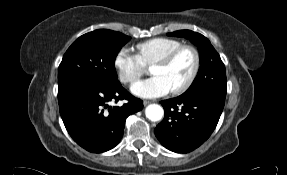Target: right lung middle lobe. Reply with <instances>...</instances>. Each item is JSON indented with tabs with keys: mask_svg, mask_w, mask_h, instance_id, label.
<instances>
[{
	"mask_svg": "<svg viewBox=\"0 0 287 175\" xmlns=\"http://www.w3.org/2000/svg\"><path fill=\"white\" fill-rule=\"evenodd\" d=\"M129 40V36L106 29L82 35L63 56L58 68V87L74 82L103 87L119 85L115 59Z\"/></svg>",
	"mask_w": 287,
	"mask_h": 175,
	"instance_id": "obj_1",
	"label": "right lung middle lobe"
}]
</instances>
